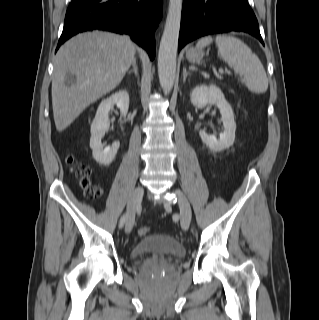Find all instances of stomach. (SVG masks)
Returning <instances> with one entry per match:
<instances>
[{
	"instance_id": "1",
	"label": "stomach",
	"mask_w": 319,
	"mask_h": 320,
	"mask_svg": "<svg viewBox=\"0 0 319 320\" xmlns=\"http://www.w3.org/2000/svg\"><path fill=\"white\" fill-rule=\"evenodd\" d=\"M204 52L201 48H190L186 52V58L191 63H198L203 58Z\"/></svg>"
}]
</instances>
